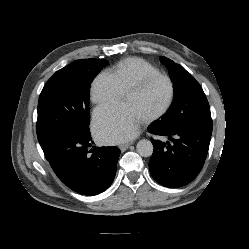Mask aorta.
<instances>
[{"label":"aorta","mask_w":249,"mask_h":249,"mask_svg":"<svg viewBox=\"0 0 249 249\" xmlns=\"http://www.w3.org/2000/svg\"><path fill=\"white\" fill-rule=\"evenodd\" d=\"M136 149L140 156L150 157L153 153V144L147 139H142L137 143Z\"/></svg>","instance_id":"762f6f07"}]
</instances>
